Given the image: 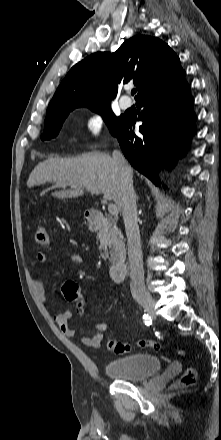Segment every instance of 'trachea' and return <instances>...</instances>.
Segmentation results:
<instances>
[{
	"label": "trachea",
	"instance_id": "3493384b",
	"mask_svg": "<svg viewBox=\"0 0 221 440\" xmlns=\"http://www.w3.org/2000/svg\"><path fill=\"white\" fill-rule=\"evenodd\" d=\"M136 91H137L136 89H133V90L131 91V94L134 95V94L136 93Z\"/></svg>",
	"mask_w": 221,
	"mask_h": 440
}]
</instances>
